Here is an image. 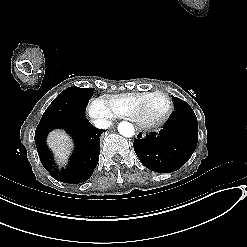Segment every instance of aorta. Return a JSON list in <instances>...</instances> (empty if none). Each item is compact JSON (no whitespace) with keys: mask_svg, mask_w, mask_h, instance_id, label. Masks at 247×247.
Masks as SVG:
<instances>
[{"mask_svg":"<svg viewBox=\"0 0 247 247\" xmlns=\"http://www.w3.org/2000/svg\"><path fill=\"white\" fill-rule=\"evenodd\" d=\"M118 131L125 137H132L135 134L134 126L129 122H121L118 125Z\"/></svg>","mask_w":247,"mask_h":247,"instance_id":"1","label":"aorta"}]
</instances>
